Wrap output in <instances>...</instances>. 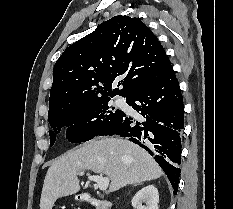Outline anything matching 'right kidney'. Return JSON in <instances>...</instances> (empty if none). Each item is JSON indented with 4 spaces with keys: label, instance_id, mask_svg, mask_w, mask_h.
I'll list each match as a JSON object with an SVG mask.
<instances>
[{
    "label": "right kidney",
    "instance_id": "ca27d5eb",
    "mask_svg": "<svg viewBox=\"0 0 233 209\" xmlns=\"http://www.w3.org/2000/svg\"><path fill=\"white\" fill-rule=\"evenodd\" d=\"M158 202V189L154 185H148L134 195L131 203L134 209H159ZM142 203H145L146 206Z\"/></svg>",
    "mask_w": 233,
    "mask_h": 209
}]
</instances>
